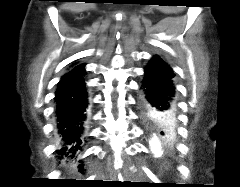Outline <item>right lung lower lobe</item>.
I'll list each match as a JSON object with an SVG mask.
<instances>
[{
	"label": "right lung lower lobe",
	"mask_w": 240,
	"mask_h": 187,
	"mask_svg": "<svg viewBox=\"0 0 240 187\" xmlns=\"http://www.w3.org/2000/svg\"><path fill=\"white\" fill-rule=\"evenodd\" d=\"M84 75V65L73 67L62 76L55 92V114L60 136L56 152L58 159L68 162L76 160L85 143L88 100ZM79 166L82 171L83 165Z\"/></svg>",
	"instance_id": "1"
}]
</instances>
